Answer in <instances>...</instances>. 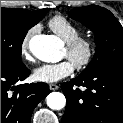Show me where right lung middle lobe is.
I'll list each match as a JSON object with an SVG mask.
<instances>
[{
    "label": "right lung middle lobe",
    "mask_w": 123,
    "mask_h": 123,
    "mask_svg": "<svg viewBox=\"0 0 123 123\" xmlns=\"http://www.w3.org/2000/svg\"><path fill=\"white\" fill-rule=\"evenodd\" d=\"M50 8L40 11L1 8V68H22L21 48L28 30L43 19Z\"/></svg>",
    "instance_id": "obj_1"
}]
</instances>
